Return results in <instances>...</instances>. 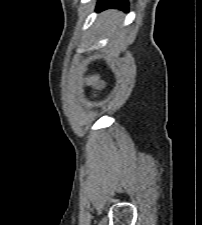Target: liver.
I'll list each match as a JSON object with an SVG mask.
<instances>
[{"label":"liver","mask_w":202,"mask_h":225,"mask_svg":"<svg viewBox=\"0 0 202 225\" xmlns=\"http://www.w3.org/2000/svg\"><path fill=\"white\" fill-rule=\"evenodd\" d=\"M118 13L114 10H108L102 13L101 19L104 22V28L108 31L114 32L117 28L118 20H117ZM91 80H98L99 76L94 75L90 78Z\"/></svg>","instance_id":"obj_1"}]
</instances>
